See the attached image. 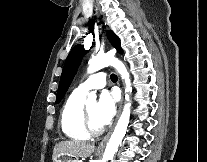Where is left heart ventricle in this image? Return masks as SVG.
Instances as JSON below:
<instances>
[{
  "label": "left heart ventricle",
  "mask_w": 207,
  "mask_h": 162,
  "mask_svg": "<svg viewBox=\"0 0 207 162\" xmlns=\"http://www.w3.org/2000/svg\"><path fill=\"white\" fill-rule=\"evenodd\" d=\"M87 107H88L89 115H90V118L93 124L96 127H102L101 123L99 122L98 116H97L98 104L94 102V103L89 104Z\"/></svg>",
  "instance_id": "obj_1"
}]
</instances>
